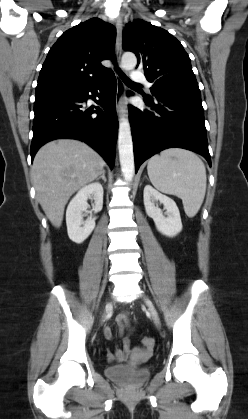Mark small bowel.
I'll return each mask as SVG.
<instances>
[{
	"label": "small bowel",
	"mask_w": 248,
	"mask_h": 419,
	"mask_svg": "<svg viewBox=\"0 0 248 419\" xmlns=\"http://www.w3.org/2000/svg\"><path fill=\"white\" fill-rule=\"evenodd\" d=\"M117 322L120 327V332L121 334H123L124 331L129 328V321L127 319L126 314H119L117 317ZM105 336L108 339L112 338V331L109 328L105 330ZM130 350L131 340L127 336H124L122 338V348H118L113 353H110L108 355V359L110 361H123L126 358V355L130 352Z\"/></svg>",
	"instance_id": "small-bowel-1"
}]
</instances>
